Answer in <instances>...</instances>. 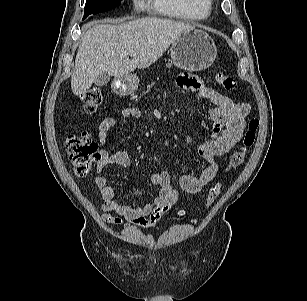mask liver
I'll list each match as a JSON object with an SVG mask.
<instances>
[{
	"label": "liver",
	"instance_id": "6515ba94",
	"mask_svg": "<svg viewBox=\"0 0 307 301\" xmlns=\"http://www.w3.org/2000/svg\"><path fill=\"white\" fill-rule=\"evenodd\" d=\"M190 24L144 17L121 24H96L79 44L71 88L75 95L89 89L101 73L123 77L157 61ZM136 52L129 59L130 52Z\"/></svg>",
	"mask_w": 307,
	"mask_h": 301
}]
</instances>
